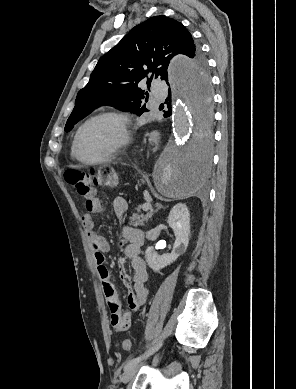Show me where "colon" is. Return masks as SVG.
I'll list each match as a JSON object with an SVG mask.
<instances>
[{
	"mask_svg": "<svg viewBox=\"0 0 296 389\" xmlns=\"http://www.w3.org/2000/svg\"><path fill=\"white\" fill-rule=\"evenodd\" d=\"M65 180L78 194L83 197H87L91 194L94 186H117L118 174L113 168L103 166L90 172H81L76 170L67 171L65 173ZM121 345L122 349L125 351H130L132 349L130 339H124Z\"/></svg>",
	"mask_w": 296,
	"mask_h": 389,
	"instance_id": "5ec220e1",
	"label": "colon"
}]
</instances>
